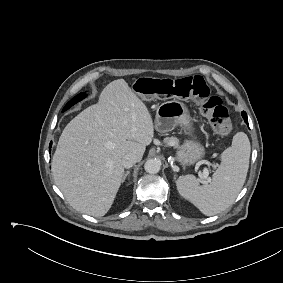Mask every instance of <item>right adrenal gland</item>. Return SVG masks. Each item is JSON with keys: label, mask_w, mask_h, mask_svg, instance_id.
Listing matches in <instances>:
<instances>
[{"label": "right adrenal gland", "mask_w": 283, "mask_h": 283, "mask_svg": "<svg viewBox=\"0 0 283 283\" xmlns=\"http://www.w3.org/2000/svg\"><path fill=\"white\" fill-rule=\"evenodd\" d=\"M130 174V171H127L125 174H124V177H123V180H122V182H124L125 181V179L127 178V176Z\"/></svg>", "instance_id": "2a0ac1e0"}]
</instances>
